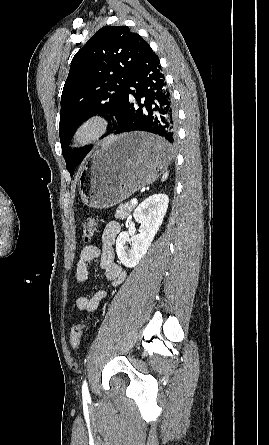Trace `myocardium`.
I'll return each instance as SVG.
<instances>
[{
    "label": "myocardium",
    "mask_w": 269,
    "mask_h": 445,
    "mask_svg": "<svg viewBox=\"0 0 269 445\" xmlns=\"http://www.w3.org/2000/svg\"><path fill=\"white\" fill-rule=\"evenodd\" d=\"M109 125V120L102 114L94 113L86 116L73 131V145L85 148L94 144L108 132Z\"/></svg>",
    "instance_id": "myocardium-1"
}]
</instances>
